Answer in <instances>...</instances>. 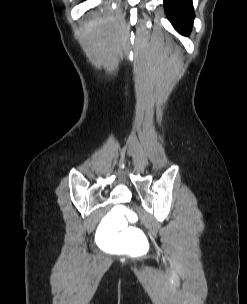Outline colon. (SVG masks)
Listing matches in <instances>:
<instances>
[{"label":"colon","mask_w":247,"mask_h":304,"mask_svg":"<svg viewBox=\"0 0 247 304\" xmlns=\"http://www.w3.org/2000/svg\"><path fill=\"white\" fill-rule=\"evenodd\" d=\"M138 220L139 215L134 214L125 202L108 210L94 233V240H97L102 253H139V258L142 256L140 253H147L149 237H146L142 225H132Z\"/></svg>","instance_id":"obj_1"}]
</instances>
